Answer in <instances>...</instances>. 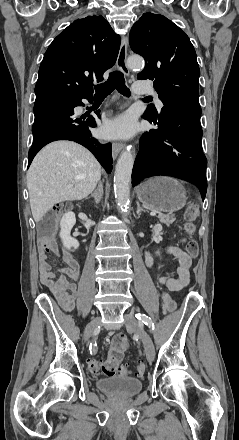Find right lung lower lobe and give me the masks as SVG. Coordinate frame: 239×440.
<instances>
[{"instance_id": "obj_1", "label": "right lung lower lobe", "mask_w": 239, "mask_h": 440, "mask_svg": "<svg viewBox=\"0 0 239 440\" xmlns=\"http://www.w3.org/2000/svg\"><path fill=\"white\" fill-rule=\"evenodd\" d=\"M93 94V93H92ZM92 94L65 96L50 94L36 97L35 120L32 126L33 144L28 154V166L46 144L56 140H72L88 148L107 173L112 169L111 144H100L91 135L89 127H96L93 116L77 117L73 108L81 106V99L92 101ZM99 116V111H97Z\"/></svg>"}]
</instances>
